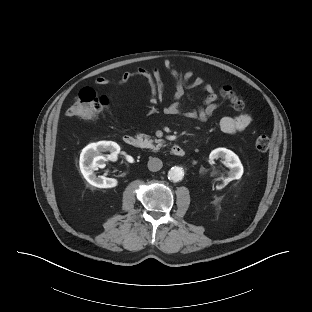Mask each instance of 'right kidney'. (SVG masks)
Returning a JSON list of instances; mask_svg holds the SVG:
<instances>
[{
    "mask_svg": "<svg viewBox=\"0 0 312 312\" xmlns=\"http://www.w3.org/2000/svg\"><path fill=\"white\" fill-rule=\"evenodd\" d=\"M110 152L112 160L117 158L120 152V146L112 141H100L86 146L80 154V170L89 184L98 188H112L117 186L118 181L115 178L96 176V168L105 167L106 157L100 155L101 152Z\"/></svg>",
    "mask_w": 312,
    "mask_h": 312,
    "instance_id": "obj_1",
    "label": "right kidney"
}]
</instances>
